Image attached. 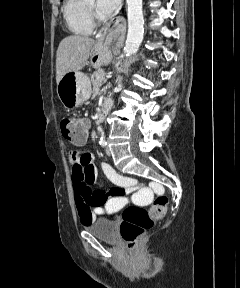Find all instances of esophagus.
Segmentation results:
<instances>
[{"label": "esophagus", "mask_w": 240, "mask_h": 288, "mask_svg": "<svg viewBox=\"0 0 240 288\" xmlns=\"http://www.w3.org/2000/svg\"><path fill=\"white\" fill-rule=\"evenodd\" d=\"M121 18L117 17L116 19H114L113 21H111L105 28H103L99 34H98V40L99 41H104L105 40V36L108 34V32L114 31L117 33V31L120 29L121 27Z\"/></svg>", "instance_id": "esophagus-1"}]
</instances>
